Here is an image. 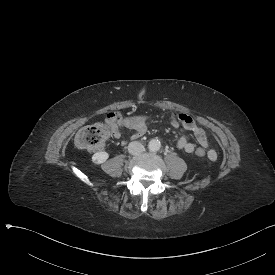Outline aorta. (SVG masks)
<instances>
[{"mask_svg":"<svg viewBox=\"0 0 275 275\" xmlns=\"http://www.w3.org/2000/svg\"><path fill=\"white\" fill-rule=\"evenodd\" d=\"M161 147V142L158 139H152L148 143V148L152 152H156L160 149Z\"/></svg>","mask_w":275,"mask_h":275,"instance_id":"762f6f07","label":"aorta"}]
</instances>
